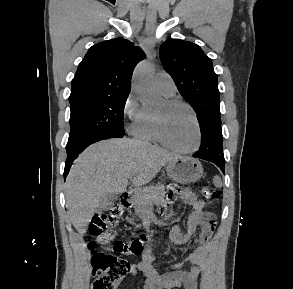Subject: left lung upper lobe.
Listing matches in <instances>:
<instances>
[{
  "mask_svg": "<svg viewBox=\"0 0 293 289\" xmlns=\"http://www.w3.org/2000/svg\"><path fill=\"white\" fill-rule=\"evenodd\" d=\"M165 71L197 114L200 127L221 124L218 78L212 60L188 41L167 39L159 50Z\"/></svg>",
  "mask_w": 293,
  "mask_h": 289,
  "instance_id": "left-lung-upper-lobe-1",
  "label": "left lung upper lobe"
}]
</instances>
